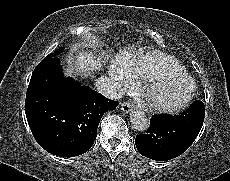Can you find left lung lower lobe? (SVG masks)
<instances>
[{"mask_svg": "<svg viewBox=\"0 0 230 181\" xmlns=\"http://www.w3.org/2000/svg\"><path fill=\"white\" fill-rule=\"evenodd\" d=\"M205 106L197 100L178 116L155 115L146 134L137 135L135 145L145 157L166 161L185 152L203 125Z\"/></svg>", "mask_w": 230, "mask_h": 181, "instance_id": "0a47b994", "label": "left lung lower lobe"}]
</instances>
